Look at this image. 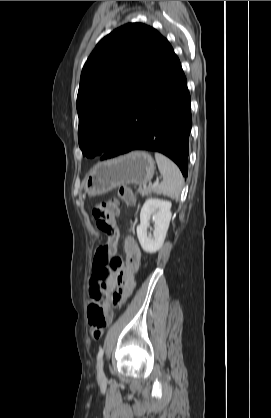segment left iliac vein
I'll return each mask as SVG.
<instances>
[{
  "instance_id": "4c4485c4",
  "label": "left iliac vein",
  "mask_w": 271,
  "mask_h": 418,
  "mask_svg": "<svg viewBox=\"0 0 271 418\" xmlns=\"http://www.w3.org/2000/svg\"><path fill=\"white\" fill-rule=\"evenodd\" d=\"M97 377L99 380H103L105 378L103 371V359H100L97 363Z\"/></svg>"
}]
</instances>
